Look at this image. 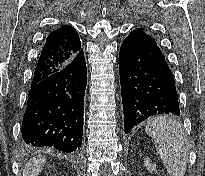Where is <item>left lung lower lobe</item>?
Wrapping results in <instances>:
<instances>
[{"label": "left lung lower lobe", "mask_w": 205, "mask_h": 176, "mask_svg": "<svg viewBox=\"0 0 205 176\" xmlns=\"http://www.w3.org/2000/svg\"><path fill=\"white\" fill-rule=\"evenodd\" d=\"M119 69L126 134L150 116L180 115L173 74L155 40L142 28L123 41Z\"/></svg>", "instance_id": "0a47b994"}]
</instances>
